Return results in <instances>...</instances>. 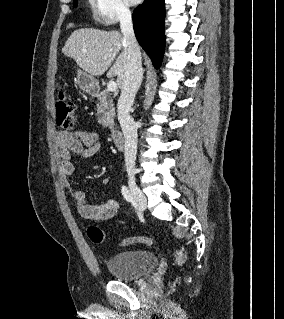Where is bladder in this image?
<instances>
[{"label":"bladder","mask_w":284,"mask_h":319,"mask_svg":"<svg viewBox=\"0 0 284 319\" xmlns=\"http://www.w3.org/2000/svg\"><path fill=\"white\" fill-rule=\"evenodd\" d=\"M157 256L148 250L119 252L105 261L108 272L118 280H135L155 268Z\"/></svg>","instance_id":"1"}]
</instances>
